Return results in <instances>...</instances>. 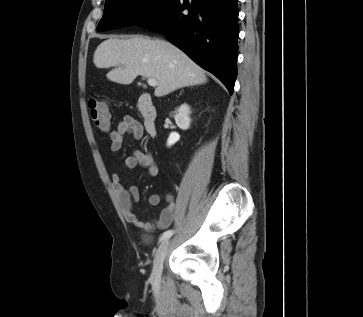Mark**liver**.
<instances>
[{
    "label": "liver",
    "mask_w": 363,
    "mask_h": 317,
    "mask_svg": "<svg viewBox=\"0 0 363 317\" xmlns=\"http://www.w3.org/2000/svg\"><path fill=\"white\" fill-rule=\"evenodd\" d=\"M93 62L97 68L116 67L106 76L119 84H131L138 75L155 79L157 97L207 81L199 65L176 46L161 39L110 37L97 47Z\"/></svg>",
    "instance_id": "1"
}]
</instances>
